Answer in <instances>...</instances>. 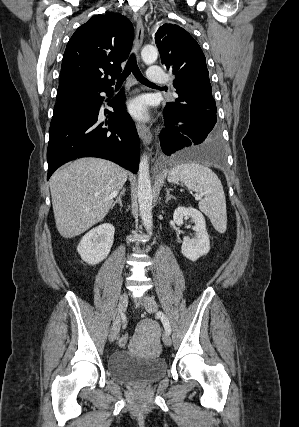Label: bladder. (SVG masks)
Here are the masks:
<instances>
[{
  "label": "bladder",
  "mask_w": 299,
  "mask_h": 427,
  "mask_svg": "<svg viewBox=\"0 0 299 427\" xmlns=\"http://www.w3.org/2000/svg\"><path fill=\"white\" fill-rule=\"evenodd\" d=\"M167 366L161 358H143L126 350L113 353L107 363L109 377L119 383L150 384L166 374Z\"/></svg>",
  "instance_id": "bladder-1"
}]
</instances>
